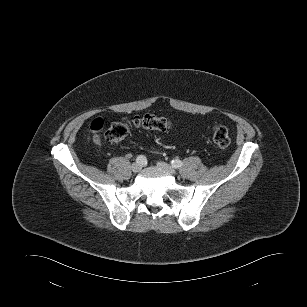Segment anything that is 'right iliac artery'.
<instances>
[{"label":"right iliac artery","mask_w":307,"mask_h":307,"mask_svg":"<svg viewBox=\"0 0 307 307\" xmlns=\"http://www.w3.org/2000/svg\"><path fill=\"white\" fill-rule=\"evenodd\" d=\"M136 162L143 165V164L146 163V157L143 156V155H139V156L136 158Z\"/></svg>","instance_id":"right-iliac-artery-1"}]
</instances>
